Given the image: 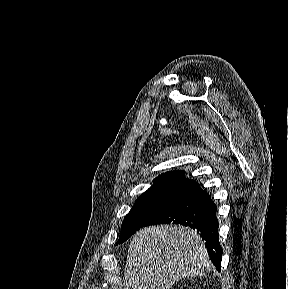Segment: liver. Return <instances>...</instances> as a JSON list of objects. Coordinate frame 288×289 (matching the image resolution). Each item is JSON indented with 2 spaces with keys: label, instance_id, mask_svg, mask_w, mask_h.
<instances>
[{
  "label": "liver",
  "instance_id": "1",
  "mask_svg": "<svg viewBox=\"0 0 288 289\" xmlns=\"http://www.w3.org/2000/svg\"><path fill=\"white\" fill-rule=\"evenodd\" d=\"M211 262L196 231L157 225L132 238L124 270V289H169L181 278L203 276Z\"/></svg>",
  "mask_w": 288,
  "mask_h": 289
}]
</instances>
